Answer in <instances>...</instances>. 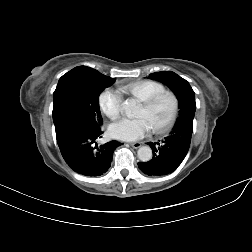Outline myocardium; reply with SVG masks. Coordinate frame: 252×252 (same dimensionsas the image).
Instances as JSON below:
<instances>
[{
	"label": "myocardium",
	"mask_w": 252,
	"mask_h": 252,
	"mask_svg": "<svg viewBox=\"0 0 252 252\" xmlns=\"http://www.w3.org/2000/svg\"><path fill=\"white\" fill-rule=\"evenodd\" d=\"M168 95L172 98L173 101V109H172V113L168 119V121L161 127L158 129H153L151 130V132L155 135H163L168 133L174 126L178 113H179V107H180V102H179V98L178 96L170 90H163L160 91L154 95H152L151 97H149L148 99L142 101L141 105L145 108H150L152 107L161 97Z\"/></svg>",
	"instance_id": "obj_1"
}]
</instances>
